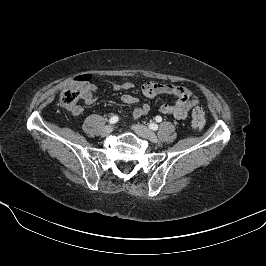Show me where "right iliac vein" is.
Masks as SVG:
<instances>
[{
  "instance_id": "1",
  "label": "right iliac vein",
  "mask_w": 266,
  "mask_h": 266,
  "mask_svg": "<svg viewBox=\"0 0 266 266\" xmlns=\"http://www.w3.org/2000/svg\"><path fill=\"white\" fill-rule=\"evenodd\" d=\"M113 131V127L108 125L106 127H104V129L102 130V135L103 136H107L108 134H110Z\"/></svg>"
}]
</instances>
